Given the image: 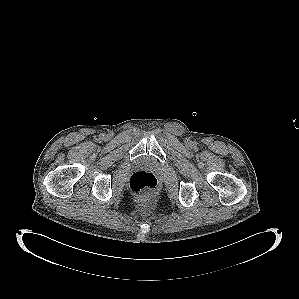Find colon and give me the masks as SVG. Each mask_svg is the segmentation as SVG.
Returning a JSON list of instances; mask_svg holds the SVG:
<instances>
[{
    "label": "colon",
    "mask_w": 299,
    "mask_h": 299,
    "mask_svg": "<svg viewBox=\"0 0 299 299\" xmlns=\"http://www.w3.org/2000/svg\"><path fill=\"white\" fill-rule=\"evenodd\" d=\"M158 185L156 176L148 171H137L129 179L131 192L140 199H146Z\"/></svg>",
    "instance_id": "obj_1"
}]
</instances>
